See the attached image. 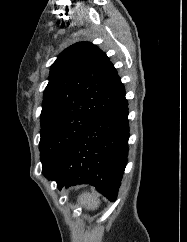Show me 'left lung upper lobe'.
I'll return each instance as SVG.
<instances>
[{"mask_svg": "<svg viewBox=\"0 0 187 242\" xmlns=\"http://www.w3.org/2000/svg\"><path fill=\"white\" fill-rule=\"evenodd\" d=\"M41 112L42 173L54 171L87 129L124 95L106 54L90 42L65 49L52 64Z\"/></svg>", "mask_w": 187, "mask_h": 242, "instance_id": "obj_1", "label": "left lung upper lobe"}]
</instances>
